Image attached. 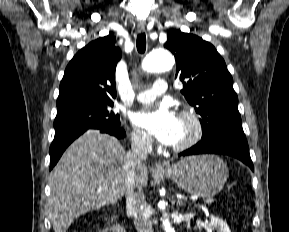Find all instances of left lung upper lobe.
Wrapping results in <instances>:
<instances>
[{
  "label": "left lung upper lobe",
  "mask_w": 289,
  "mask_h": 232,
  "mask_svg": "<svg viewBox=\"0 0 289 232\" xmlns=\"http://www.w3.org/2000/svg\"><path fill=\"white\" fill-rule=\"evenodd\" d=\"M165 47L176 59L181 93L200 115L201 141L228 133H242L233 79L215 47L202 38L175 30Z\"/></svg>",
  "instance_id": "left-lung-upper-lobe-1"
}]
</instances>
